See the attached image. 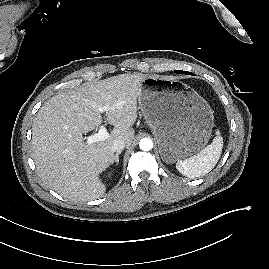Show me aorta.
<instances>
[{
    "label": "aorta",
    "instance_id": "obj_1",
    "mask_svg": "<svg viewBox=\"0 0 269 269\" xmlns=\"http://www.w3.org/2000/svg\"><path fill=\"white\" fill-rule=\"evenodd\" d=\"M139 147L143 151H150L153 148V142L150 138H142L139 142Z\"/></svg>",
    "mask_w": 269,
    "mask_h": 269
}]
</instances>
